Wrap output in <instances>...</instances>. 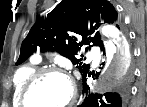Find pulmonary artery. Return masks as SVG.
Returning <instances> with one entry per match:
<instances>
[{
  "mask_svg": "<svg viewBox=\"0 0 147 107\" xmlns=\"http://www.w3.org/2000/svg\"><path fill=\"white\" fill-rule=\"evenodd\" d=\"M91 56L94 58V60H93V64L94 65H97L98 64V57H99V55H98V51L96 50V49H92L91 50ZM36 60H38V59H36Z\"/></svg>",
  "mask_w": 147,
  "mask_h": 107,
  "instance_id": "obj_1",
  "label": "pulmonary artery"
}]
</instances>
